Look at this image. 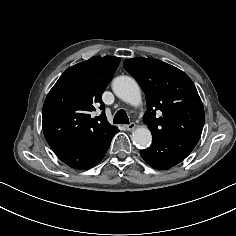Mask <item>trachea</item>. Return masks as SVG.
<instances>
[{
	"instance_id": "trachea-1",
	"label": "trachea",
	"mask_w": 236,
	"mask_h": 236,
	"mask_svg": "<svg viewBox=\"0 0 236 236\" xmlns=\"http://www.w3.org/2000/svg\"><path fill=\"white\" fill-rule=\"evenodd\" d=\"M113 123L115 124H129V119L125 110L120 109L114 116Z\"/></svg>"
}]
</instances>
